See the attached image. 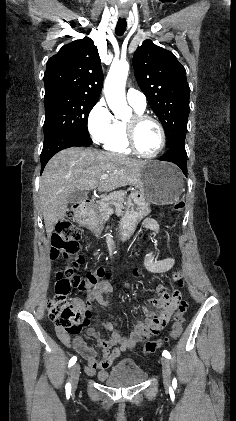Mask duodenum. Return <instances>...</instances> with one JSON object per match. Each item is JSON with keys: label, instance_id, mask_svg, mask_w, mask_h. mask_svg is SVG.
Here are the masks:
<instances>
[{"label": "duodenum", "instance_id": "410a0bca", "mask_svg": "<svg viewBox=\"0 0 236 421\" xmlns=\"http://www.w3.org/2000/svg\"><path fill=\"white\" fill-rule=\"evenodd\" d=\"M94 209V201L91 199H84L75 206V215L77 221L84 225L91 227L94 225L92 214ZM158 303L162 306L161 314L159 318L166 317L170 313V308L173 306L174 300L168 297L165 293L160 294ZM158 318V317H156ZM157 319L150 320L148 324H142L136 327L133 335L130 339L122 338L119 333L110 325L109 330L112 331V338L107 341L109 345L119 344V349L124 350L126 347L131 346L136 340L137 336L140 334L148 335L149 333L154 332L156 329L155 323Z\"/></svg>", "mask_w": 236, "mask_h": 421}]
</instances>
